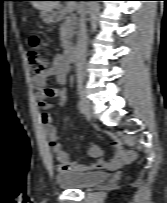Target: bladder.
<instances>
[{
  "mask_svg": "<svg viewBox=\"0 0 167 203\" xmlns=\"http://www.w3.org/2000/svg\"><path fill=\"white\" fill-rule=\"evenodd\" d=\"M56 183L63 188H83L103 183L108 174L102 171H62L55 175Z\"/></svg>",
  "mask_w": 167,
  "mask_h": 203,
  "instance_id": "31cf9c89",
  "label": "bladder"
}]
</instances>
